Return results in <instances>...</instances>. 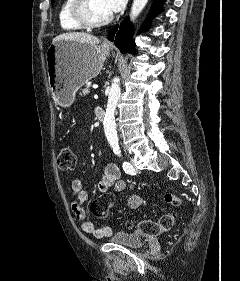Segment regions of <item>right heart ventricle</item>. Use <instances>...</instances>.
Returning <instances> with one entry per match:
<instances>
[{"label": "right heart ventricle", "mask_w": 240, "mask_h": 281, "mask_svg": "<svg viewBox=\"0 0 240 281\" xmlns=\"http://www.w3.org/2000/svg\"><path fill=\"white\" fill-rule=\"evenodd\" d=\"M73 0H64L61 4L59 11V23L63 30L65 31H79L84 27L78 24L71 16L70 8Z\"/></svg>", "instance_id": "1"}]
</instances>
